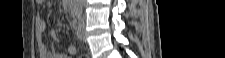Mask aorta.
Wrapping results in <instances>:
<instances>
[{
  "label": "aorta",
  "mask_w": 225,
  "mask_h": 58,
  "mask_svg": "<svg viewBox=\"0 0 225 58\" xmlns=\"http://www.w3.org/2000/svg\"><path fill=\"white\" fill-rule=\"evenodd\" d=\"M82 0H77V3L75 5V9H76V13L78 15H81L82 13V4H81Z\"/></svg>",
  "instance_id": "obj_1"
}]
</instances>
